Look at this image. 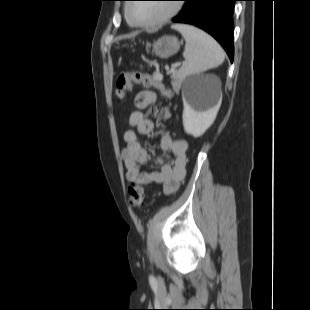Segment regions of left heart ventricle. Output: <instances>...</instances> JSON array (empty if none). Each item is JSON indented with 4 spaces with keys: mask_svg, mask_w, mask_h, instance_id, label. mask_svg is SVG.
I'll list each match as a JSON object with an SVG mask.
<instances>
[{
    "mask_svg": "<svg viewBox=\"0 0 310 310\" xmlns=\"http://www.w3.org/2000/svg\"><path fill=\"white\" fill-rule=\"evenodd\" d=\"M169 3H136L130 8L132 18L139 22H152L168 13Z\"/></svg>",
    "mask_w": 310,
    "mask_h": 310,
    "instance_id": "b2bd125f",
    "label": "left heart ventricle"
}]
</instances>
